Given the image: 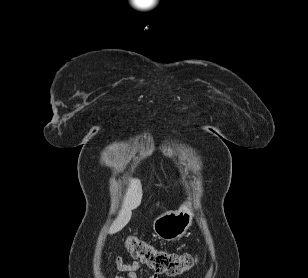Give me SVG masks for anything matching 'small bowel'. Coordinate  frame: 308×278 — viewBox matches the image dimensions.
Instances as JSON below:
<instances>
[{
  "mask_svg": "<svg viewBox=\"0 0 308 278\" xmlns=\"http://www.w3.org/2000/svg\"><path fill=\"white\" fill-rule=\"evenodd\" d=\"M115 265L121 274L115 276L114 278H138L135 270L139 267V262L134 261L132 263H126L121 256H117L115 259ZM149 278H158V276L155 273Z\"/></svg>",
  "mask_w": 308,
  "mask_h": 278,
  "instance_id": "obj_1",
  "label": "small bowel"
}]
</instances>
